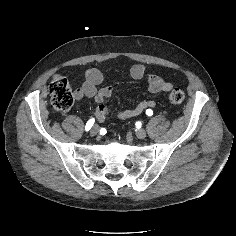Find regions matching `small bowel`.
<instances>
[{
	"instance_id": "obj_1",
	"label": "small bowel",
	"mask_w": 236,
	"mask_h": 236,
	"mask_svg": "<svg viewBox=\"0 0 236 236\" xmlns=\"http://www.w3.org/2000/svg\"><path fill=\"white\" fill-rule=\"evenodd\" d=\"M129 75L133 80H145L148 91L152 94L169 92L173 88V85L170 82L164 81L161 77L150 73L142 64L133 65L130 68ZM104 80L105 75L103 72L97 68H89L85 72V80L82 87L74 92V97L77 101H80L84 97L93 98L95 100L97 103L95 114L99 122L104 121L108 115L106 101L113 92V87L111 85H106L98 89V86L103 83ZM155 106V101L143 100L134 108L121 111L118 114V118L120 120H126L143 113L147 109L154 108Z\"/></svg>"
}]
</instances>
